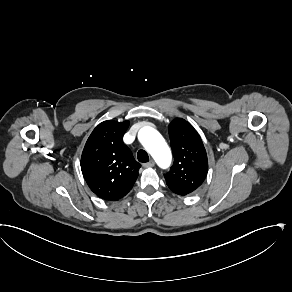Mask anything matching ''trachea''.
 <instances>
[{
    "label": "trachea",
    "mask_w": 292,
    "mask_h": 292,
    "mask_svg": "<svg viewBox=\"0 0 292 292\" xmlns=\"http://www.w3.org/2000/svg\"><path fill=\"white\" fill-rule=\"evenodd\" d=\"M137 158H138L139 162H142V163H146L149 161L148 153L143 149H140L138 151Z\"/></svg>",
    "instance_id": "trachea-1"
}]
</instances>
